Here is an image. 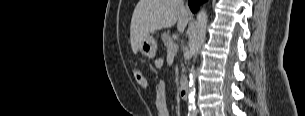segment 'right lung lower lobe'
I'll return each mask as SVG.
<instances>
[{
    "instance_id": "1",
    "label": "right lung lower lobe",
    "mask_w": 305,
    "mask_h": 116,
    "mask_svg": "<svg viewBox=\"0 0 305 116\" xmlns=\"http://www.w3.org/2000/svg\"><path fill=\"white\" fill-rule=\"evenodd\" d=\"M202 2H205V0H189V7L192 12H195L198 5Z\"/></svg>"
}]
</instances>
